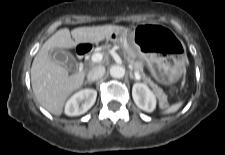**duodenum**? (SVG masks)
<instances>
[{"instance_id":"1","label":"duodenum","mask_w":225,"mask_h":155,"mask_svg":"<svg viewBox=\"0 0 225 155\" xmlns=\"http://www.w3.org/2000/svg\"><path fill=\"white\" fill-rule=\"evenodd\" d=\"M88 52V47L85 46V45H79L77 48H76V53H77V56L80 60L83 59V57L86 55V53Z\"/></svg>"}]
</instances>
